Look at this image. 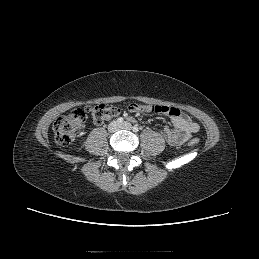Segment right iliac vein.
<instances>
[{
	"instance_id": "63e3f726",
	"label": "right iliac vein",
	"mask_w": 259,
	"mask_h": 259,
	"mask_svg": "<svg viewBox=\"0 0 259 259\" xmlns=\"http://www.w3.org/2000/svg\"><path fill=\"white\" fill-rule=\"evenodd\" d=\"M118 128H119V124H118L116 121L112 122V123L109 125V130H110L111 132H115Z\"/></svg>"
}]
</instances>
